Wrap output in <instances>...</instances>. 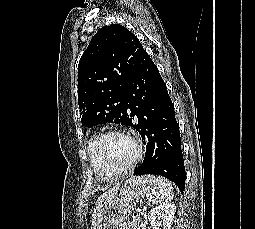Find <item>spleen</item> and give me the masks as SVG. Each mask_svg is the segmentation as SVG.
I'll return each mask as SVG.
<instances>
[{
	"label": "spleen",
	"instance_id": "1",
	"mask_svg": "<svg viewBox=\"0 0 255 229\" xmlns=\"http://www.w3.org/2000/svg\"><path fill=\"white\" fill-rule=\"evenodd\" d=\"M156 188L150 193L149 200L155 204L168 203L173 198V187L171 182L164 177H154Z\"/></svg>",
	"mask_w": 255,
	"mask_h": 229
}]
</instances>
